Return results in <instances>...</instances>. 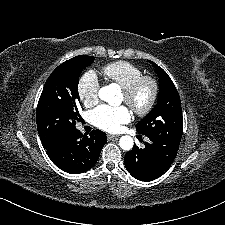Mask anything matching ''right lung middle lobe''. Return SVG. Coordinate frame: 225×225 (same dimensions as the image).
I'll list each match as a JSON object with an SVG mask.
<instances>
[{
    "mask_svg": "<svg viewBox=\"0 0 225 225\" xmlns=\"http://www.w3.org/2000/svg\"><path fill=\"white\" fill-rule=\"evenodd\" d=\"M95 57L80 55L59 65L47 79L37 105L36 121L42 144H54L76 129L79 75Z\"/></svg>",
    "mask_w": 225,
    "mask_h": 225,
    "instance_id": "1",
    "label": "right lung middle lobe"
}]
</instances>
